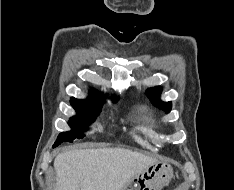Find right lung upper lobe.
<instances>
[{
  "mask_svg": "<svg viewBox=\"0 0 234 190\" xmlns=\"http://www.w3.org/2000/svg\"><path fill=\"white\" fill-rule=\"evenodd\" d=\"M71 101L91 103V104H102L104 102V97L95 92L91 97L88 98V100H79L72 98Z\"/></svg>",
  "mask_w": 234,
  "mask_h": 190,
  "instance_id": "1",
  "label": "right lung upper lobe"
}]
</instances>
